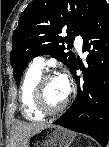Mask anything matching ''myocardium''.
<instances>
[{
    "label": "myocardium",
    "mask_w": 109,
    "mask_h": 147,
    "mask_svg": "<svg viewBox=\"0 0 109 147\" xmlns=\"http://www.w3.org/2000/svg\"><path fill=\"white\" fill-rule=\"evenodd\" d=\"M54 78H58V75L51 74V73L43 74L38 80L34 88V92L32 96V105L38 112H40L43 115H57L61 113L67 107L69 103V93H68L65 100L60 106L56 108H50L47 105L45 101V97H44V88H45L46 83L49 80L54 79Z\"/></svg>",
    "instance_id": "1"
}]
</instances>
